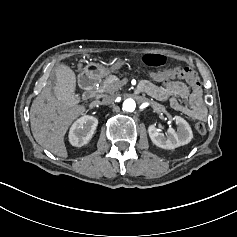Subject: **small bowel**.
<instances>
[{"mask_svg":"<svg viewBox=\"0 0 237 237\" xmlns=\"http://www.w3.org/2000/svg\"><path fill=\"white\" fill-rule=\"evenodd\" d=\"M172 74L173 70L154 72L151 74L152 79L164 83V86L160 87L145 80L139 84L138 90L156 99L169 100L172 108L193 119L206 120L208 108L198 77L194 75L192 79H185L184 83L169 82Z\"/></svg>","mask_w":237,"mask_h":237,"instance_id":"obj_1","label":"small bowel"}]
</instances>
